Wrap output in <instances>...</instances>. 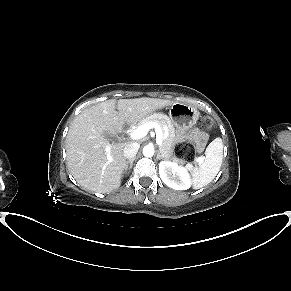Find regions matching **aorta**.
<instances>
[{
  "label": "aorta",
  "instance_id": "762f6f07",
  "mask_svg": "<svg viewBox=\"0 0 291 291\" xmlns=\"http://www.w3.org/2000/svg\"><path fill=\"white\" fill-rule=\"evenodd\" d=\"M155 153L154 146L152 144L146 145L143 148V155L145 157H152Z\"/></svg>",
  "mask_w": 291,
  "mask_h": 291
}]
</instances>
